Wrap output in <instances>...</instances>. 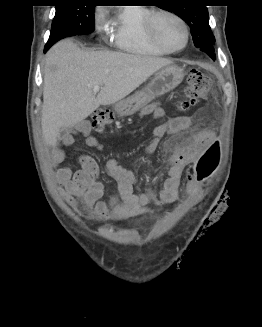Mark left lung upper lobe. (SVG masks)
<instances>
[{"mask_svg":"<svg viewBox=\"0 0 262 327\" xmlns=\"http://www.w3.org/2000/svg\"><path fill=\"white\" fill-rule=\"evenodd\" d=\"M198 3L196 0H165L160 8L174 12L190 26L194 45L199 49L213 45L215 38L209 26L208 10Z\"/></svg>","mask_w":262,"mask_h":327,"instance_id":"5c2ea615","label":"left lung upper lobe"}]
</instances>
